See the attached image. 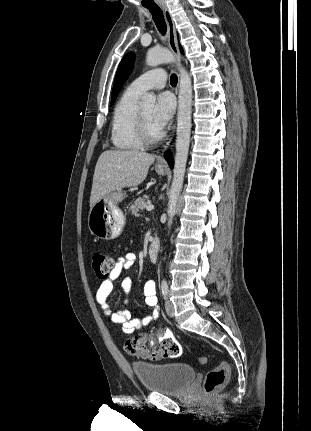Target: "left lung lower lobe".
<instances>
[{"label": "left lung lower lobe", "mask_w": 311, "mask_h": 431, "mask_svg": "<svg viewBox=\"0 0 311 431\" xmlns=\"http://www.w3.org/2000/svg\"><path fill=\"white\" fill-rule=\"evenodd\" d=\"M164 156H165V159L167 160V162H168L169 166L172 168V167H173L174 162H173V158H172V155H171L170 151H167V152L164 154Z\"/></svg>", "instance_id": "left-lung-lower-lobe-1"}]
</instances>
